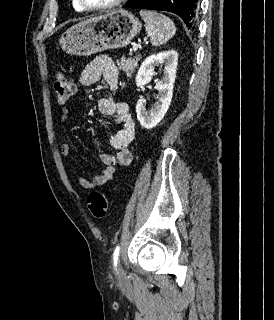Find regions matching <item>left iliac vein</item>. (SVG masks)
Wrapping results in <instances>:
<instances>
[{
  "instance_id": "left-iliac-vein-1",
  "label": "left iliac vein",
  "mask_w": 274,
  "mask_h": 320,
  "mask_svg": "<svg viewBox=\"0 0 274 320\" xmlns=\"http://www.w3.org/2000/svg\"><path fill=\"white\" fill-rule=\"evenodd\" d=\"M118 277L120 279L124 277V271L120 265H118Z\"/></svg>"
}]
</instances>
